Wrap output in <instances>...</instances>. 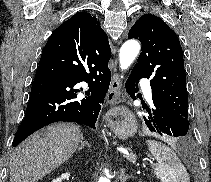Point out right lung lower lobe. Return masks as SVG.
Returning a JSON list of instances; mask_svg holds the SVG:
<instances>
[{
  "mask_svg": "<svg viewBox=\"0 0 211 182\" xmlns=\"http://www.w3.org/2000/svg\"><path fill=\"white\" fill-rule=\"evenodd\" d=\"M110 55L96 46L78 45L66 26L57 28L43 49L25 118L12 145L58 121L95 128L111 81ZM82 81L89 86L84 98L78 96L82 90L75 89Z\"/></svg>",
  "mask_w": 211,
  "mask_h": 182,
  "instance_id": "98d812e1",
  "label": "right lung lower lobe"
}]
</instances>
